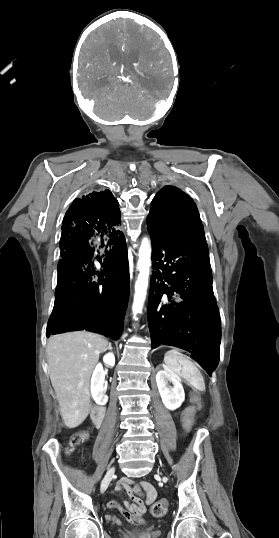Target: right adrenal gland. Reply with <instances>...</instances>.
Segmentation results:
<instances>
[{"mask_svg":"<svg viewBox=\"0 0 279 538\" xmlns=\"http://www.w3.org/2000/svg\"><path fill=\"white\" fill-rule=\"evenodd\" d=\"M108 348H109V350H113L111 344H109Z\"/></svg>","mask_w":279,"mask_h":538,"instance_id":"2a0ac1e0","label":"right adrenal gland"}]
</instances>
